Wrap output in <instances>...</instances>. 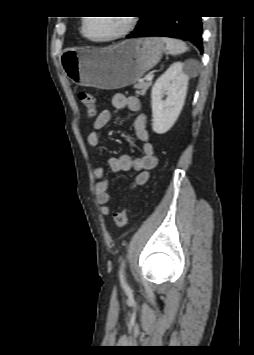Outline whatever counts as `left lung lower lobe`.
Returning a JSON list of instances; mask_svg holds the SVG:
<instances>
[{
  "instance_id": "0a47b994",
  "label": "left lung lower lobe",
  "mask_w": 254,
  "mask_h": 355,
  "mask_svg": "<svg viewBox=\"0 0 254 355\" xmlns=\"http://www.w3.org/2000/svg\"><path fill=\"white\" fill-rule=\"evenodd\" d=\"M135 31L126 38L138 36H165L186 39L192 42L200 52L202 45L201 16H141Z\"/></svg>"
}]
</instances>
